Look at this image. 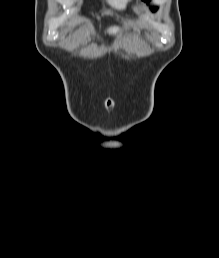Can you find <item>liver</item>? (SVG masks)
Wrapping results in <instances>:
<instances>
[{"instance_id": "6515ba94", "label": "liver", "mask_w": 219, "mask_h": 258, "mask_svg": "<svg viewBox=\"0 0 219 258\" xmlns=\"http://www.w3.org/2000/svg\"><path fill=\"white\" fill-rule=\"evenodd\" d=\"M118 31H119V27H117V26L110 27V28H108V30H107V32H108L109 34H116Z\"/></svg>"}]
</instances>
